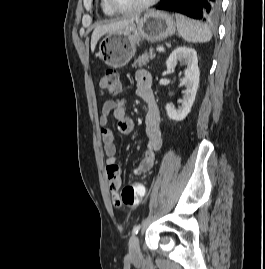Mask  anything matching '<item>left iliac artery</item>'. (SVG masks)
<instances>
[{"label":"left iliac artery","mask_w":265,"mask_h":269,"mask_svg":"<svg viewBox=\"0 0 265 269\" xmlns=\"http://www.w3.org/2000/svg\"><path fill=\"white\" fill-rule=\"evenodd\" d=\"M140 227H141L140 224H139V225H136V226L133 228L132 234H133V235H134V234H137L138 231L140 230Z\"/></svg>","instance_id":"1"}]
</instances>
